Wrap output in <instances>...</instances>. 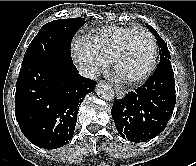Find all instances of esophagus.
I'll list each match as a JSON object with an SVG mask.
<instances>
[{"mask_svg":"<svg viewBox=\"0 0 196 166\" xmlns=\"http://www.w3.org/2000/svg\"><path fill=\"white\" fill-rule=\"evenodd\" d=\"M115 94H116V96H117L119 99H122V98L125 97V92H124L123 90H118V89H116V90H115Z\"/></svg>","mask_w":196,"mask_h":166,"instance_id":"obj_1","label":"esophagus"}]
</instances>
